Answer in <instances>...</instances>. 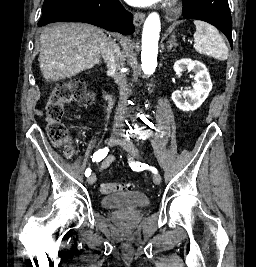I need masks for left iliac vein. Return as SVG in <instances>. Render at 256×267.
<instances>
[{
  "mask_svg": "<svg viewBox=\"0 0 256 267\" xmlns=\"http://www.w3.org/2000/svg\"><path fill=\"white\" fill-rule=\"evenodd\" d=\"M119 144L123 147L124 150H126L128 153H130L133 157L138 158L139 152L138 149L128 141L127 139H120ZM153 181L156 185H159L161 183V176L159 174H154Z\"/></svg>",
  "mask_w": 256,
  "mask_h": 267,
  "instance_id": "obj_1",
  "label": "left iliac vein"
}]
</instances>
